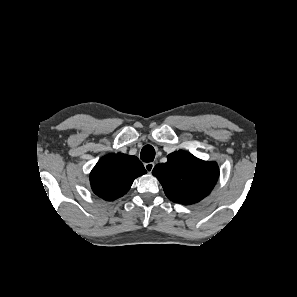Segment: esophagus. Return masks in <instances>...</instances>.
Masks as SVG:
<instances>
[{
    "instance_id": "34e87169",
    "label": "esophagus",
    "mask_w": 297,
    "mask_h": 297,
    "mask_svg": "<svg viewBox=\"0 0 297 297\" xmlns=\"http://www.w3.org/2000/svg\"><path fill=\"white\" fill-rule=\"evenodd\" d=\"M154 163L152 162H148L144 164L145 169L147 170V172L151 173L153 168H154Z\"/></svg>"
}]
</instances>
